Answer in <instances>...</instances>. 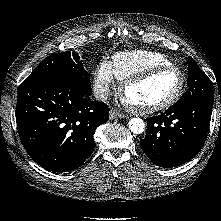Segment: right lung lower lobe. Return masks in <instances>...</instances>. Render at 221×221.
<instances>
[{
    "mask_svg": "<svg viewBox=\"0 0 221 221\" xmlns=\"http://www.w3.org/2000/svg\"><path fill=\"white\" fill-rule=\"evenodd\" d=\"M77 83L46 79L18 88L16 122L21 142L41 167L65 172L80 167L95 147L96 128L109 119L103 102Z\"/></svg>",
    "mask_w": 221,
    "mask_h": 221,
    "instance_id": "obj_1",
    "label": "right lung lower lobe"
}]
</instances>
